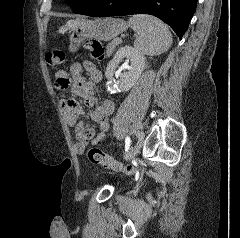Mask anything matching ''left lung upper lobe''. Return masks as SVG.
I'll return each mask as SVG.
<instances>
[{"label":"left lung upper lobe","instance_id":"5c2ea615","mask_svg":"<svg viewBox=\"0 0 240 238\" xmlns=\"http://www.w3.org/2000/svg\"><path fill=\"white\" fill-rule=\"evenodd\" d=\"M70 7L79 13L80 11L86 9L90 6L95 0H66Z\"/></svg>","mask_w":240,"mask_h":238}]
</instances>
